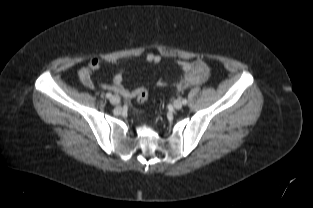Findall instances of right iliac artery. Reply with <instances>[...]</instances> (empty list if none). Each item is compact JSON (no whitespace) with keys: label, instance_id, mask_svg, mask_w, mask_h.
<instances>
[{"label":"right iliac artery","instance_id":"82829eb1","mask_svg":"<svg viewBox=\"0 0 313 208\" xmlns=\"http://www.w3.org/2000/svg\"><path fill=\"white\" fill-rule=\"evenodd\" d=\"M106 97H107V98H111V97H112V94H111V93H107V94H106Z\"/></svg>","mask_w":313,"mask_h":208}]
</instances>
